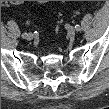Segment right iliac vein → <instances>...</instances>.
Segmentation results:
<instances>
[{
  "mask_svg": "<svg viewBox=\"0 0 109 109\" xmlns=\"http://www.w3.org/2000/svg\"><path fill=\"white\" fill-rule=\"evenodd\" d=\"M25 38L30 41L34 38V35L32 33H27Z\"/></svg>",
  "mask_w": 109,
  "mask_h": 109,
  "instance_id": "1",
  "label": "right iliac vein"
}]
</instances>
